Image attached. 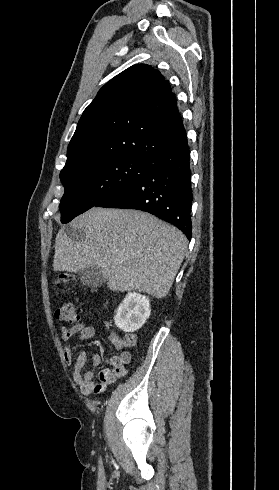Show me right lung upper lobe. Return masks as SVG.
Listing matches in <instances>:
<instances>
[{
  "label": "right lung upper lobe",
  "mask_w": 279,
  "mask_h": 490,
  "mask_svg": "<svg viewBox=\"0 0 279 490\" xmlns=\"http://www.w3.org/2000/svg\"><path fill=\"white\" fill-rule=\"evenodd\" d=\"M187 140L169 82L137 64L106 83L84 110L60 174L97 159L153 161Z\"/></svg>",
  "instance_id": "1"
}]
</instances>
